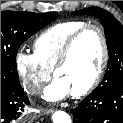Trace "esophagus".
Listing matches in <instances>:
<instances>
[{
    "label": "esophagus",
    "instance_id": "1",
    "mask_svg": "<svg viewBox=\"0 0 123 123\" xmlns=\"http://www.w3.org/2000/svg\"><path fill=\"white\" fill-rule=\"evenodd\" d=\"M43 114H50L52 113L54 110L52 108H49V109H42L41 110Z\"/></svg>",
    "mask_w": 123,
    "mask_h": 123
}]
</instances>
